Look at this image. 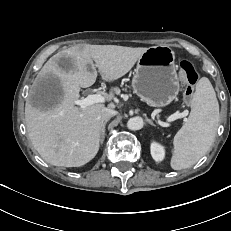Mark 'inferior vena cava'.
I'll return each instance as SVG.
<instances>
[{"instance_id": "1", "label": "inferior vena cava", "mask_w": 231, "mask_h": 231, "mask_svg": "<svg viewBox=\"0 0 231 231\" xmlns=\"http://www.w3.org/2000/svg\"><path fill=\"white\" fill-rule=\"evenodd\" d=\"M117 114V112L113 109H109V108H103L102 112H101V120L102 122L105 120H109L111 117L115 116Z\"/></svg>"}]
</instances>
